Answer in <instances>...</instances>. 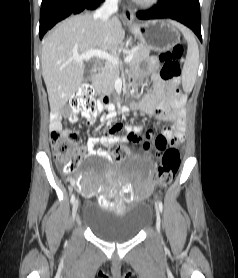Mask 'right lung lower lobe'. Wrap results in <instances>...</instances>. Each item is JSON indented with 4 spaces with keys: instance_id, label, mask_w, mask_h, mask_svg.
<instances>
[{
    "instance_id": "right-lung-lower-lobe-1",
    "label": "right lung lower lobe",
    "mask_w": 238,
    "mask_h": 278,
    "mask_svg": "<svg viewBox=\"0 0 238 278\" xmlns=\"http://www.w3.org/2000/svg\"><path fill=\"white\" fill-rule=\"evenodd\" d=\"M104 0H42L40 11L39 36L51 29L57 22L71 14H78L85 9H95Z\"/></svg>"
}]
</instances>
